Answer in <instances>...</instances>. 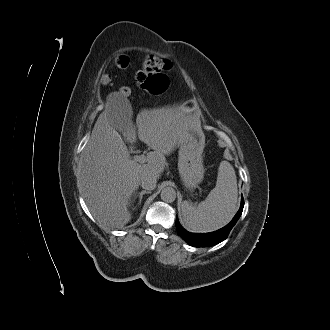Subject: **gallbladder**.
Listing matches in <instances>:
<instances>
[{"label":"gallbladder","instance_id":"gallbladder-1","mask_svg":"<svg viewBox=\"0 0 330 330\" xmlns=\"http://www.w3.org/2000/svg\"><path fill=\"white\" fill-rule=\"evenodd\" d=\"M120 112H118L119 115H121L123 118L125 116V121H121V125L114 124L115 129H117L120 133L123 132V127L127 125L128 122L132 121V114L128 113V106L125 103H122L119 107Z\"/></svg>","mask_w":330,"mask_h":330}]
</instances>
